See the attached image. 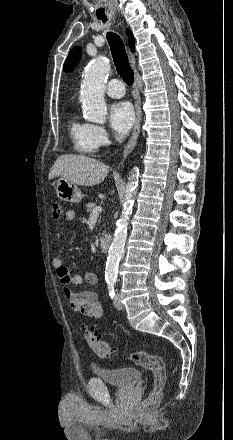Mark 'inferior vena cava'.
<instances>
[{"label": "inferior vena cava", "instance_id": "602c4592", "mask_svg": "<svg viewBox=\"0 0 233 440\" xmlns=\"http://www.w3.org/2000/svg\"><path fill=\"white\" fill-rule=\"evenodd\" d=\"M117 140H118L119 142H121V141H122V138H121V137H118Z\"/></svg>", "mask_w": 233, "mask_h": 440}]
</instances>
